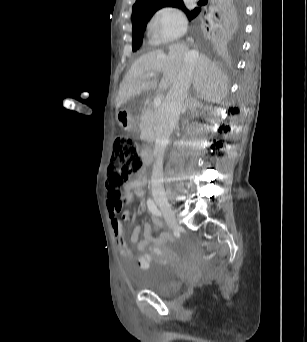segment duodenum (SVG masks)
Masks as SVG:
<instances>
[{"instance_id":"410a0bca","label":"duodenum","mask_w":307,"mask_h":342,"mask_svg":"<svg viewBox=\"0 0 307 342\" xmlns=\"http://www.w3.org/2000/svg\"><path fill=\"white\" fill-rule=\"evenodd\" d=\"M142 159L145 165H149L152 160V151L149 148L143 147L141 149Z\"/></svg>"}]
</instances>
